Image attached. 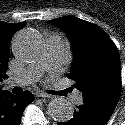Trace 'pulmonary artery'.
<instances>
[{"label":"pulmonary artery","mask_w":125,"mask_h":125,"mask_svg":"<svg viewBox=\"0 0 125 125\" xmlns=\"http://www.w3.org/2000/svg\"><path fill=\"white\" fill-rule=\"evenodd\" d=\"M67 46L60 35H50L46 38L45 47L37 60L27 66L22 73L10 80L11 85L25 86L37 82L45 72L51 78H56L64 63ZM74 102L82 103V95L76 93Z\"/></svg>","instance_id":"1"}]
</instances>
